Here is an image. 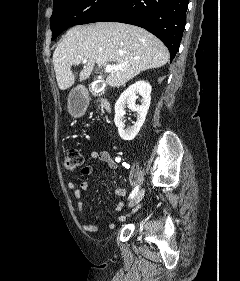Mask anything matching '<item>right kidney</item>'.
Masks as SVG:
<instances>
[{"label":"right kidney","instance_id":"1","mask_svg":"<svg viewBox=\"0 0 240 281\" xmlns=\"http://www.w3.org/2000/svg\"><path fill=\"white\" fill-rule=\"evenodd\" d=\"M151 90L152 87L149 83H146L145 81H138L121 93L119 99L117 100L115 104L114 122L116 127H118V133L123 140H133L144 124L150 106ZM138 95L142 97L141 105L135 104ZM126 105L130 110L137 113V121L132 127L127 129H125L124 125Z\"/></svg>","mask_w":240,"mask_h":281}]
</instances>
